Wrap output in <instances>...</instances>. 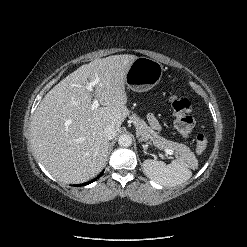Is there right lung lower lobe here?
Here are the masks:
<instances>
[{"instance_id": "obj_1", "label": "right lung lower lobe", "mask_w": 247, "mask_h": 247, "mask_svg": "<svg viewBox=\"0 0 247 247\" xmlns=\"http://www.w3.org/2000/svg\"><path fill=\"white\" fill-rule=\"evenodd\" d=\"M102 174H103V172L98 177H96L94 180H91L89 182H85V183H82V184H78V185H75V186H85V185H88V184L92 183L93 181L97 180Z\"/></svg>"}]
</instances>
